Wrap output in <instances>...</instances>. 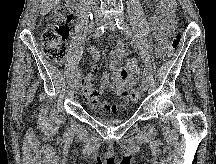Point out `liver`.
I'll return each instance as SVG.
<instances>
[{"instance_id": "liver-1", "label": "liver", "mask_w": 216, "mask_h": 164, "mask_svg": "<svg viewBox=\"0 0 216 164\" xmlns=\"http://www.w3.org/2000/svg\"><path fill=\"white\" fill-rule=\"evenodd\" d=\"M61 0H41V14L45 15L54 9Z\"/></svg>"}]
</instances>
